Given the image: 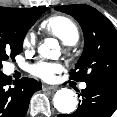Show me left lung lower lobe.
Listing matches in <instances>:
<instances>
[{
  "mask_svg": "<svg viewBox=\"0 0 117 117\" xmlns=\"http://www.w3.org/2000/svg\"><path fill=\"white\" fill-rule=\"evenodd\" d=\"M86 84L78 109L73 114H60L58 117H110L114 113L117 108V80L98 79Z\"/></svg>",
  "mask_w": 117,
  "mask_h": 117,
  "instance_id": "1",
  "label": "left lung lower lobe"
}]
</instances>
